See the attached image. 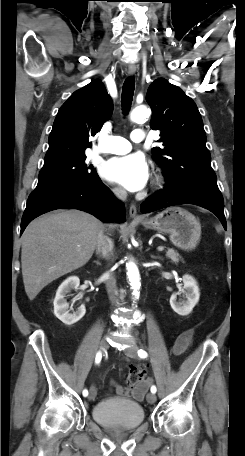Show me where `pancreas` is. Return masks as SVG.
I'll return each mask as SVG.
<instances>
[{"label":"pancreas","mask_w":245,"mask_h":456,"mask_svg":"<svg viewBox=\"0 0 245 456\" xmlns=\"http://www.w3.org/2000/svg\"><path fill=\"white\" fill-rule=\"evenodd\" d=\"M166 257L171 259V261L173 263H178L179 260H180V256L179 254L177 253V251H175L173 248H168L167 252H166Z\"/></svg>","instance_id":"pancreas-1"}]
</instances>
